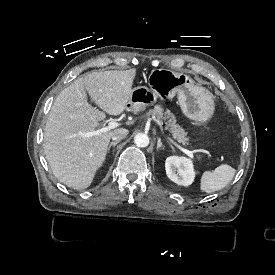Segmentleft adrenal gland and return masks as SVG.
Returning <instances> with one entry per match:
<instances>
[{
	"label": "left adrenal gland",
	"mask_w": 275,
	"mask_h": 275,
	"mask_svg": "<svg viewBox=\"0 0 275 275\" xmlns=\"http://www.w3.org/2000/svg\"><path fill=\"white\" fill-rule=\"evenodd\" d=\"M163 148L164 149V146H163V144H162V142H161V139L160 138H158V141H157V150H159V148Z\"/></svg>",
	"instance_id": "a2214340"
}]
</instances>
